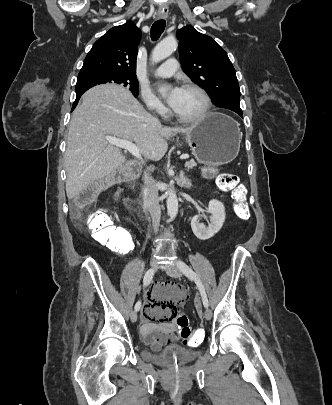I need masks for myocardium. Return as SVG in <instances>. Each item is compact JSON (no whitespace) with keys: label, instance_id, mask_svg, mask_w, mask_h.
I'll return each mask as SVG.
<instances>
[{"label":"myocardium","instance_id":"f54148a6","mask_svg":"<svg viewBox=\"0 0 332 405\" xmlns=\"http://www.w3.org/2000/svg\"><path fill=\"white\" fill-rule=\"evenodd\" d=\"M183 89L192 90V91H195L196 93H198L203 100V107L196 116H193L190 118H185V117L179 116L174 110H172V116L179 122L187 123V124L197 123V122L202 121L207 116V114L209 113L210 108H211L210 96L201 86L194 84V83L185 84L183 86Z\"/></svg>","mask_w":332,"mask_h":405}]
</instances>
